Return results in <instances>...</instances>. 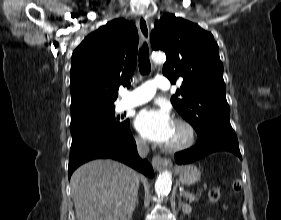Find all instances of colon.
<instances>
[{"mask_svg":"<svg viewBox=\"0 0 281 220\" xmlns=\"http://www.w3.org/2000/svg\"><path fill=\"white\" fill-rule=\"evenodd\" d=\"M233 190L236 193H239L241 191V184L238 180H235L233 182ZM220 195H221V193H220L219 187H213L207 193V200L210 203H215L219 200Z\"/></svg>","mask_w":281,"mask_h":220,"instance_id":"1","label":"colon"}]
</instances>
